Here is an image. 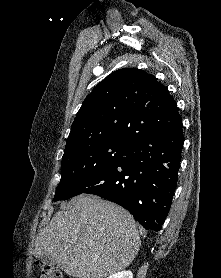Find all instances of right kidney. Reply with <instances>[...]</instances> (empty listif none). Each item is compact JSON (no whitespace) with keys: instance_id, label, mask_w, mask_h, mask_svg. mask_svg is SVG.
Wrapping results in <instances>:
<instances>
[{"instance_id":"ca27d5eb","label":"right kidney","mask_w":221,"mask_h":278,"mask_svg":"<svg viewBox=\"0 0 221 278\" xmlns=\"http://www.w3.org/2000/svg\"><path fill=\"white\" fill-rule=\"evenodd\" d=\"M107 278H133V274L131 271H121L113 275H110Z\"/></svg>"}]
</instances>
